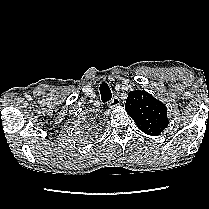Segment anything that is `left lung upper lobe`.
<instances>
[{
    "label": "left lung upper lobe",
    "instance_id": "left-lung-upper-lobe-1",
    "mask_svg": "<svg viewBox=\"0 0 209 209\" xmlns=\"http://www.w3.org/2000/svg\"><path fill=\"white\" fill-rule=\"evenodd\" d=\"M125 110L147 135H160L169 124L166 106L144 90L128 94Z\"/></svg>",
    "mask_w": 209,
    "mask_h": 209
}]
</instances>
